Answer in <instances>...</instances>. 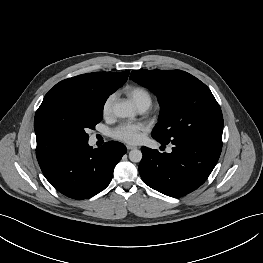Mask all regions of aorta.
<instances>
[{
    "label": "aorta",
    "instance_id": "aorta-1",
    "mask_svg": "<svg viewBox=\"0 0 263 263\" xmlns=\"http://www.w3.org/2000/svg\"><path fill=\"white\" fill-rule=\"evenodd\" d=\"M114 114L119 118H128L135 116V110L131 103L123 102L114 107ZM129 159L132 162H140L142 159V152L138 149H133L129 152Z\"/></svg>",
    "mask_w": 263,
    "mask_h": 263
}]
</instances>
